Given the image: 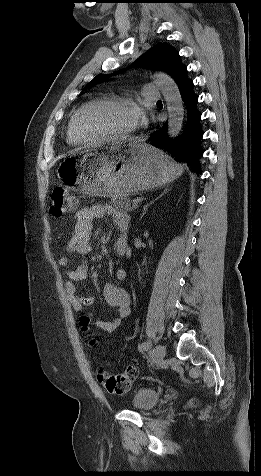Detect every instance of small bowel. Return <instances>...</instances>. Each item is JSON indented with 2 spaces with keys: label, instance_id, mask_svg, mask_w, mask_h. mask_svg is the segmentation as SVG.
Instances as JSON below:
<instances>
[{
  "label": "small bowel",
  "instance_id": "small-bowel-1",
  "mask_svg": "<svg viewBox=\"0 0 261 476\" xmlns=\"http://www.w3.org/2000/svg\"><path fill=\"white\" fill-rule=\"evenodd\" d=\"M103 217H111L119 232L115 243L116 252L123 255L127 249V233L129 229V216L127 213L117 210L107 205H95L79 210L76 214L75 223L72 228L71 237L66 245L68 255L87 256L91 252V239L94 234V220ZM62 268L69 266V258L62 257L59 260ZM88 276V263L83 260L75 269L67 270V281L65 291L69 302L74 310L84 312L87 306L93 304V298L81 296L77 293V283L86 279ZM118 282L127 280V271L120 268L115 273ZM103 296L106 303L114 308L116 316L108 321L96 318L92 313L85 312L84 316L89 323H93L106 333L115 332L121 325L122 320L130 313L131 298L129 293L122 287L114 283H108L104 286Z\"/></svg>",
  "mask_w": 261,
  "mask_h": 476
}]
</instances>
